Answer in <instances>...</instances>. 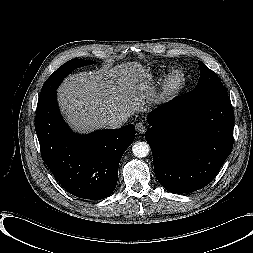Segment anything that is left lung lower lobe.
I'll return each instance as SVG.
<instances>
[{"label": "left lung lower lobe", "mask_w": 253, "mask_h": 253, "mask_svg": "<svg viewBox=\"0 0 253 253\" xmlns=\"http://www.w3.org/2000/svg\"><path fill=\"white\" fill-rule=\"evenodd\" d=\"M234 114L222 85L200 99L188 92L158 107L145 132L159 183L172 193L209 184L233 147Z\"/></svg>", "instance_id": "1"}]
</instances>
